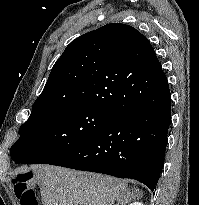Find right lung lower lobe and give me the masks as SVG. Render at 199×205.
<instances>
[{
	"mask_svg": "<svg viewBox=\"0 0 199 205\" xmlns=\"http://www.w3.org/2000/svg\"><path fill=\"white\" fill-rule=\"evenodd\" d=\"M153 89L133 105L114 112V118L95 137L49 163L142 182L156 189L164 165L171 120V93L166 75H157Z\"/></svg>",
	"mask_w": 199,
	"mask_h": 205,
	"instance_id": "obj_1",
	"label": "right lung lower lobe"
}]
</instances>
